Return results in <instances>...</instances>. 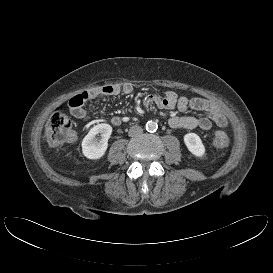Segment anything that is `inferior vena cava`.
<instances>
[{
    "instance_id": "602c4592",
    "label": "inferior vena cava",
    "mask_w": 273,
    "mask_h": 273,
    "mask_svg": "<svg viewBox=\"0 0 273 273\" xmlns=\"http://www.w3.org/2000/svg\"><path fill=\"white\" fill-rule=\"evenodd\" d=\"M142 132H143V129L140 126L134 125V126L130 127L128 134L131 137H135V136L140 135Z\"/></svg>"
}]
</instances>
